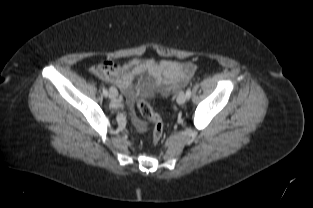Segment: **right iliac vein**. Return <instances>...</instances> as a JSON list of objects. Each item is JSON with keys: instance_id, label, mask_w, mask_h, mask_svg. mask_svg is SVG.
Returning a JSON list of instances; mask_svg holds the SVG:
<instances>
[{"instance_id": "right-iliac-vein-1", "label": "right iliac vein", "mask_w": 313, "mask_h": 208, "mask_svg": "<svg viewBox=\"0 0 313 208\" xmlns=\"http://www.w3.org/2000/svg\"><path fill=\"white\" fill-rule=\"evenodd\" d=\"M117 96H118V92H117L116 88L115 87H110V89H109V97L113 100V102L115 104H117V100H116Z\"/></svg>"}]
</instances>
